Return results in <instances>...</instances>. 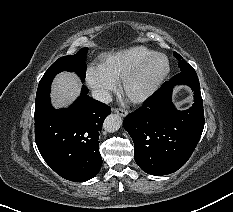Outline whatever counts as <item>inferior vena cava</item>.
<instances>
[{"label": "inferior vena cava", "instance_id": "inferior-vena-cava-1", "mask_svg": "<svg viewBox=\"0 0 233 212\" xmlns=\"http://www.w3.org/2000/svg\"><path fill=\"white\" fill-rule=\"evenodd\" d=\"M92 97L103 103H110L112 101L111 93L105 89H94Z\"/></svg>", "mask_w": 233, "mask_h": 212}]
</instances>
